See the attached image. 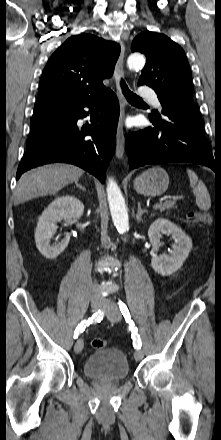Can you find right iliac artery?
Listing matches in <instances>:
<instances>
[{
  "label": "right iliac artery",
  "instance_id": "obj_1",
  "mask_svg": "<svg viewBox=\"0 0 221 440\" xmlns=\"http://www.w3.org/2000/svg\"><path fill=\"white\" fill-rule=\"evenodd\" d=\"M104 317V311L98 310L91 318L88 320L82 321L75 329L74 331V338L76 339L81 332H83L86 328V326H89V324H92L93 322H100Z\"/></svg>",
  "mask_w": 221,
  "mask_h": 440
}]
</instances>
